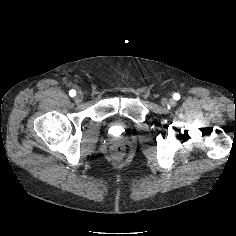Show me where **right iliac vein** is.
Instances as JSON below:
<instances>
[{
  "instance_id": "right-iliac-vein-1",
  "label": "right iliac vein",
  "mask_w": 236,
  "mask_h": 236,
  "mask_svg": "<svg viewBox=\"0 0 236 236\" xmlns=\"http://www.w3.org/2000/svg\"><path fill=\"white\" fill-rule=\"evenodd\" d=\"M83 98H84L83 93H82V92H78V93L76 94V96H75V101H76L77 103H80V102H82Z\"/></svg>"
}]
</instances>
